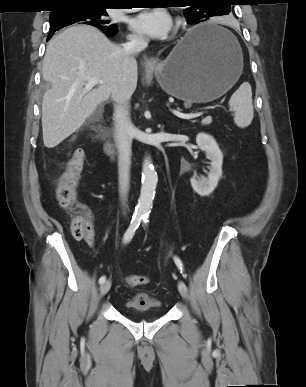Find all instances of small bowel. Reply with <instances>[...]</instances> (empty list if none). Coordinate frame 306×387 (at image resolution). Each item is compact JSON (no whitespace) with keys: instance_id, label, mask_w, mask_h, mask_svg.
<instances>
[{"instance_id":"1","label":"small bowel","mask_w":306,"mask_h":387,"mask_svg":"<svg viewBox=\"0 0 306 387\" xmlns=\"http://www.w3.org/2000/svg\"><path fill=\"white\" fill-rule=\"evenodd\" d=\"M84 241L89 246H93L94 245V234H93L92 230H89V232L85 235Z\"/></svg>"}]
</instances>
